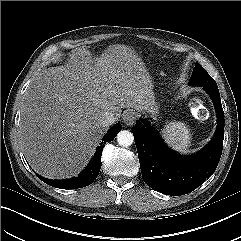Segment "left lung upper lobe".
I'll use <instances>...</instances> for the list:
<instances>
[{
	"instance_id": "1",
	"label": "left lung upper lobe",
	"mask_w": 241,
	"mask_h": 241,
	"mask_svg": "<svg viewBox=\"0 0 241 241\" xmlns=\"http://www.w3.org/2000/svg\"><path fill=\"white\" fill-rule=\"evenodd\" d=\"M189 83L200 87H217L215 80L198 63L195 64Z\"/></svg>"
}]
</instances>
